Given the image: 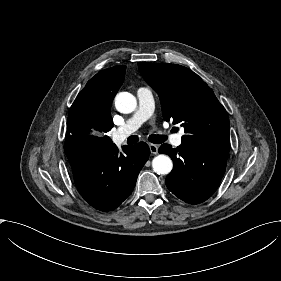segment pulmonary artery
<instances>
[{"instance_id":"1","label":"pulmonary artery","mask_w":281,"mask_h":281,"mask_svg":"<svg viewBox=\"0 0 281 281\" xmlns=\"http://www.w3.org/2000/svg\"><path fill=\"white\" fill-rule=\"evenodd\" d=\"M137 97L138 107L136 108L134 115L117 128L112 135V140L117 146L122 145L124 141L153 113L154 99L151 91L148 88H139L137 90ZM171 142L174 146L181 145L182 132L174 134L171 137Z\"/></svg>"}]
</instances>
